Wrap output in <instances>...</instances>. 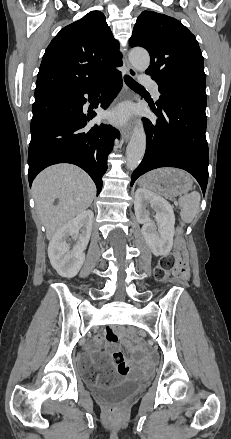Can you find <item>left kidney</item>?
I'll return each mask as SVG.
<instances>
[{
	"mask_svg": "<svg viewBox=\"0 0 231 439\" xmlns=\"http://www.w3.org/2000/svg\"><path fill=\"white\" fill-rule=\"evenodd\" d=\"M148 205L156 212L158 231L149 218ZM134 210L137 221L143 224L141 232L152 253L155 256L167 255L172 249L175 232V216L170 204L151 191L139 188L135 192Z\"/></svg>",
	"mask_w": 231,
	"mask_h": 439,
	"instance_id": "5707ae66",
	"label": "left kidney"
}]
</instances>
